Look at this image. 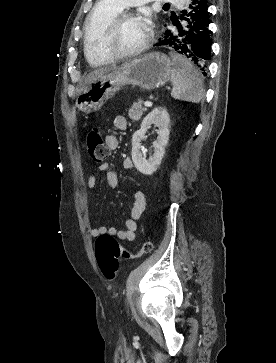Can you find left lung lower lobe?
I'll list each match as a JSON object with an SVG mask.
<instances>
[{
    "label": "left lung lower lobe",
    "mask_w": 276,
    "mask_h": 363,
    "mask_svg": "<svg viewBox=\"0 0 276 363\" xmlns=\"http://www.w3.org/2000/svg\"><path fill=\"white\" fill-rule=\"evenodd\" d=\"M188 11L172 19L174 27L166 30L155 46L169 48L195 64L206 75L210 55L207 0H188ZM179 20L183 22L180 23Z\"/></svg>",
    "instance_id": "obj_1"
}]
</instances>
